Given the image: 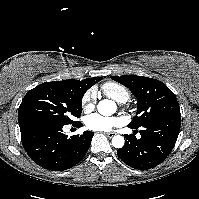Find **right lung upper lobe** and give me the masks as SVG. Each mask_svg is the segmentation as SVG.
<instances>
[{
	"instance_id": "obj_1",
	"label": "right lung upper lobe",
	"mask_w": 199,
	"mask_h": 199,
	"mask_svg": "<svg viewBox=\"0 0 199 199\" xmlns=\"http://www.w3.org/2000/svg\"><path fill=\"white\" fill-rule=\"evenodd\" d=\"M102 78L101 77H93V78H87L84 80H63L59 81L62 85L71 88L75 91H79L82 93H85L91 86L99 82Z\"/></svg>"
}]
</instances>
